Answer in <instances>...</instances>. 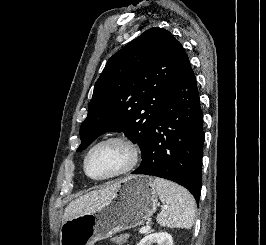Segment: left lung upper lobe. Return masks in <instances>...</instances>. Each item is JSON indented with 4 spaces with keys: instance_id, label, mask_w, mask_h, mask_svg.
<instances>
[{
    "instance_id": "1",
    "label": "left lung upper lobe",
    "mask_w": 266,
    "mask_h": 245,
    "mask_svg": "<svg viewBox=\"0 0 266 245\" xmlns=\"http://www.w3.org/2000/svg\"><path fill=\"white\" fill-rule=\"evenodd\" d=\"M188 61L180 42L159 27L113 55L95 83L77 152L106 132L123 131L143 155L153 120Z\"/></svg>"
}]
</instances>
